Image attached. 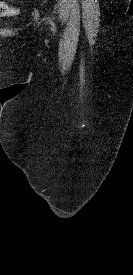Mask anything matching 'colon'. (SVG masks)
<instances>
[{
    "instance_id": "1",
    "label": "colon",
    "mask_w": 133,
    "mask_h": 275,
    "mask_svg": "<svg viewBox=\"0 0 133 275\" xmlns=\"http://www.w3.org/2000/svg\"><path fill=\"white\" fill-rule=\"evenodd\" d=\"M17 13V9L0 1V16H11Z\"/></svg>"
}]
</instances>
